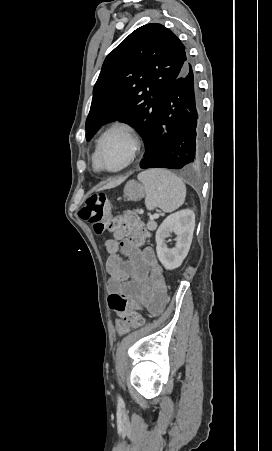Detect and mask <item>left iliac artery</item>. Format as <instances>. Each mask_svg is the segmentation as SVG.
<instances>
[{
	"instance_id": "44dca946",
	"label": "left iliac artery",
	"mask_w": 272,
	"mask_h": 451,
	"mask_svg": "<svg viewBox=\"0 0 272 451\" xmlns=\"http://www.w3.org/2000/svg\"><path fill=\"white\" fill-rule=\"evenodd\" d=\"M118 400L120 401V400H121V397H118Z\"/></svg>"
}]
</instances>
